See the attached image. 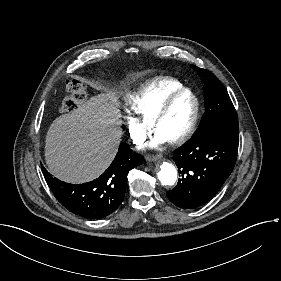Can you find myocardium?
Returning <instances> with one entry per match:
<instances>
[{
	"label": "myocardium",
	"instance_id": "myocardium-1",
	"mask_svg": "<svg viewBox=\"0 0 281 281\" xmlns=\"http://www.w3.org/2000/svg\"><path fill=\"white\" fill-rule=\"evenodd\" d=\"M190 95L194 100V110L192 112V115L189 119L188 124L183 129V131L177 135L176 137L168 140V144L170 145H179L185 142L194 132L195 127L198 122L199 113H200V102L197 97V95L191 91L190 89H183L180 90L171 96H169L154 112L153 114L147 119V128L155 133V128L157 123L160 121V119L164 116V114L167 112L169 107L173 104L174 101H176L178 98L182 97L183 95Z\"/></svg>",
	"mask_w": 281,
	"mask_h": 281
}]
</instances>
